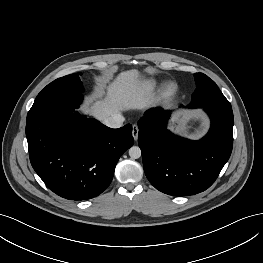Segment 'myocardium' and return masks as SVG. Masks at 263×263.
Here are the masks:
<instances>
[{"label":"myocardium","mask_w":263,"mask_h":263,"mask_svg":"<svg viewBox=\"0 0 263 263\" xmlns=\"http://www.w3.org/2000/svg\"><path fill=\"white\" fill-rule=\"evenodd\" d=\"M177 85L175 83H168L165 85L161 92V98L164 100H168L172 98L177 93Z\"/></svg>","instance_id":"obj_1"}]
</instances>
